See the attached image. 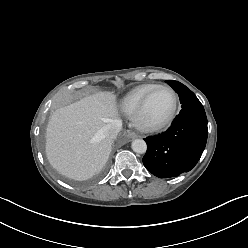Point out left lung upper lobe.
I'll return each mask as SVG.
<instances>
[{"mask_svg": "<svg viewBox=\"0 0 248 248\" xmlns=\"http://www.w3.org/2000/svg\"><path fill=\"white\" fill-rule=\"evenodd\" d=\"M166 82L178 93L182 107H186L198 100L195 94L182 83L173 80H167Z\"/></svg>", "mask_w": 248, "mask_h": 248, "instance_id": "5c2ea615", "label": "left lung upper lobe"}]
</instances>
